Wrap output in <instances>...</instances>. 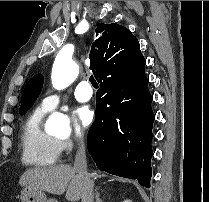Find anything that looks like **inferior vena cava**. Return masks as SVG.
<instances>
[{
    "label": "inferior vena cava",
    "instance_id": "602c4592",
    "mask_svg": "<svg viewBox=\"0 0 209 202\" xmlns=\"http://www.w3.org/2000/svg\"><path fill=\"white\" fill-rule=\"evenodd\" d=\"M74 169L84 181L81 202H93V182L91 181L90 175L87 171L85 147L82 141L78 143V149L74 161Z\"/></svg>",
    "mask_w": 209,
    "mask_h": 202
}]
</instances>
